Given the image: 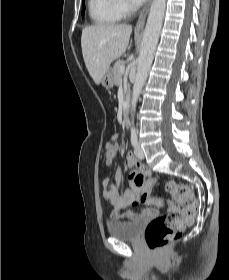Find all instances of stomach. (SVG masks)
<instances>
[{
	"label": "stomach",
	"instance_id": "obj_1",
	"mask_svg": "<svg viewBox=\"0 0 229 280\" xmlns=\"http://www.w3.org/2000/svg\"><path fill=\"white\" fill-rule=\"evenodd\" d=\"M102 86L106 89H111L114 85V73L111 68H109L105 74L103 75V78L101 80Z\"/></svg>",
	"mask_w": 229,
	"mask_h": 280
}]
</instances>
